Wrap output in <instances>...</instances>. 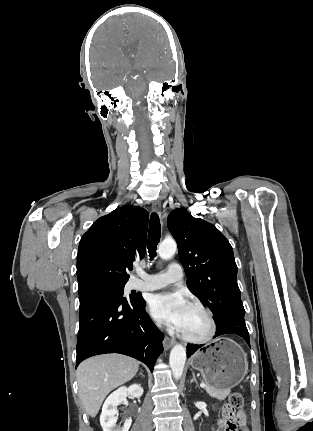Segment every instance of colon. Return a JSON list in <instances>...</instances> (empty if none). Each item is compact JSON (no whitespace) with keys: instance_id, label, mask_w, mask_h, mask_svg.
Segmentation results:
<instances>
[{"instance_id":"obj_1","label":"colon","mask_w":313,"mask_h":431,"mask_svg":"<svg viewBox=\"0 0 313 431\" xmlns=\"http://www.w3.org/2000/svg\"><path fill=\"white\" fill-rule=\"evenodd\" d=\"M243 406L244 399L239 392H232L228 396V402L223 407V416L228 420L227 431H237V426L232 422L231 418L235 411L242 409Z\"/></svg>"}]
</instances>
